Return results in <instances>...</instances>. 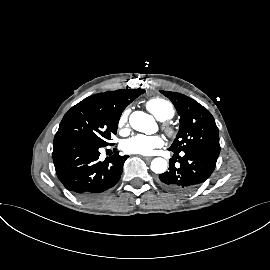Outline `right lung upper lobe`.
<instances>
[{
	"mask_svg": "<svg viewBox=\"0 0 270 270\" xmlns=\"http://www.w3.org/2000/svg\"><path fill=\"white\" fill-rule=\"evenodd\" d=\"M144 92L145 90L140 88L124 89L99 93L88 98L96 104L106 107L121 115L124 109Z\"/></svg>",
	"mask_w": 270,
	"mask_h": 270,
	"instance_id": "cb5924a9",
	"label": "right lung upper lobe"
}]
</instances>
